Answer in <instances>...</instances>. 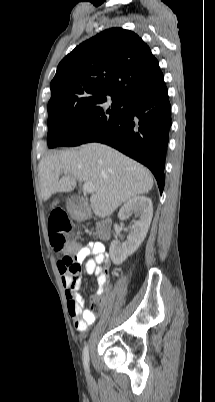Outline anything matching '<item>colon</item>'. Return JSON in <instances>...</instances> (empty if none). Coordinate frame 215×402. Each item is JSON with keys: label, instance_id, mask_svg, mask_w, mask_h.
<instances>
[{"label": "colon", "instance_id": "obj_1", "mask_svg": "<svg viewBox=\"0 0 215 402\" xmlns=\"http://www.w3.org/2000/svg\"><path fill=\"white\" fill-rule=\"evenodd\" d=\"M49 239L55 251L61 252L62 258L60 260L62 266L68 268L73 272L79 269V264L75 258L77 250H82V241H75L70 238L66 241L65 232L70 231L71 224L68 215L63 210H55L52 212L48 222ZM95 305L92 304L91 311L94 312Z\"/></svg>", "mask_w": 215, "mask_h": 402}]
</instances>
